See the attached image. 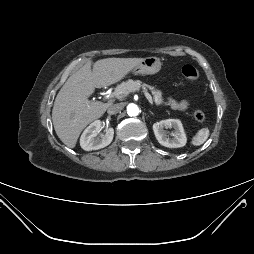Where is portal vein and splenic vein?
Returning a JSON list of instances; mask_svg holds the SVG:
<instances>
[{
    "label": "portal vein and splenic vein",
    "mask_w": 254,
    "mask_h": 254,
    "mask_svg": "<svg viewBox=\"0 0 254 254\" xmlns=\"http://www.w3.org/2000/svg\"><path fill=\"white\" fill-rule=\"evenodd\" d=\"M143 93L146 96V98L148 99L149 103L152 105L153 100H152L151 95L146 90H143ZM119 95H120V92L119 93L114 92L113 94H111V97H118Z\"/></svg>",
    "instance_id": "1"
}]
</instances>
